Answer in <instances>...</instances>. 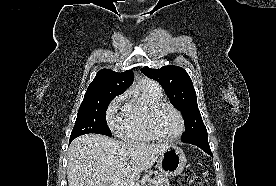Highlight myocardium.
<instances>
[{"instance_id": "myocardium-1", "label": "myocardium", "mask_w": 276, "mask_h": 186, "mask_svg": "<svg viewBox=\"0 0 276 186\" xmlns=\"http://www.w3.org/2000/svg\"><path fill=\"white\" fill-rule=\"evenodd\" d=\"M162 107H169L171 108L179 117L180 120V129L178 131V133L172 137H162L160 136L154 126V118L156 113L162 108ZM146 127L147 130L149 132V134L151 135V137L155 140L158 141H162V142H173L178 140L184 133L185 131V120L183 117V114L181 113V111L175 107L172 103L168 102V101H158L155 102L154 104H152L149 109L147 110L146 113Z\"/></svg>"}]
</instances>
